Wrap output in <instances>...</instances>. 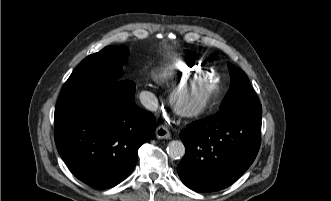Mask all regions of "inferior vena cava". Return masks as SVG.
Masks as SVG:
<instances>
[{
  "label": "inferior vena cava",
  "instance_id": "1",
  "mask_svg": "<svg viewBox=\"0 0 331 201\" xmlns=\"http://www.w3.org/2000/svg\"><path fill=\"white\" fill-rule=\"evenodd\" d=\"M140 101L145 108L151 111H156L158 108V100L156 96L148 91H143L140 94Z\"/></svg>",
  "mask_w": 331,
  "mask_h": 201
}]
</instances>
